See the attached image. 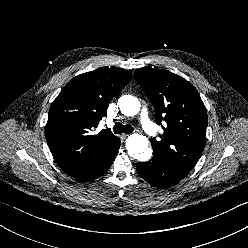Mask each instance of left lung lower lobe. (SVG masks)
Instances as JSON below:
<instances>
[{
  "instance_id": "left-lung-lower-lobe-1",
  "label": "left lung lower lobe",
  "mask_w": 248,
  "mask_h": 248,
  "mask_svg": "<svg viewBox=\"0 0 248 248\" xmlns=\"http://www.w3.org/2000/svg\"><path fill=\"white\" fill-rule=\"evenodd\" d=\"M136 170L140 177L159 188L172 186L187 175L155 154L150 161L139 162Z\"/></svg>"
}]
</instances>
